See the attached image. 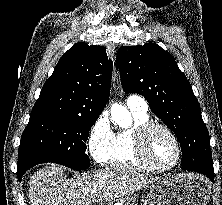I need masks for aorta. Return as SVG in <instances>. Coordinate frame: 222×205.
I'll return each instance as SVG.
<instances>
[{
    "label": "aorta",
    "mask_w": 222,
    "mask_h": 205,
    "mask_svg": "<svg viewBox=\"0 0 222 205\" xmlns=\"http://www.w3.org/2000/svg\"><path fill=\"white\" fill-rule=\"evenodd\" d=\"M111 119L121 127H128L131 124V115L129 111L121 104H112Z\"/></svg>",
    "instance_id": "1"
}]
</instances>
